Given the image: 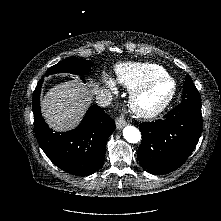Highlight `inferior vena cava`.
I'll return each mask as SVG.
<instances>
[{"label": "inferior vena cava", "mask_w": 221, "mask_h": 221, "mask_svg": "<svg viewBox=\"0 0 221 221\" xmlns=\"http://www.w3.org/2000/svg\"><path fill=\"white\" fill-rule=\"evenodd\" d=\"M112 95L108 89H102L96 94V103L101 107H106L112 102Z\"/></svg>", "instance_id": "inferior-vena-cava-1"}]
</instances>
